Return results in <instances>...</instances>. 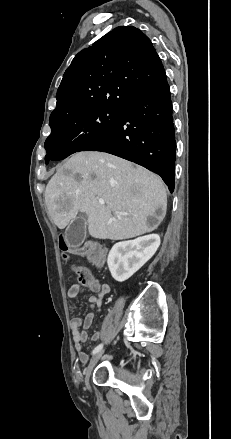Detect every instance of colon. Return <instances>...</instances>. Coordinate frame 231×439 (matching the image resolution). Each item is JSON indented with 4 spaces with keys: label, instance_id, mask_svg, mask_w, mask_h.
I'll return each instance as SVG.
<instances>
[{
    "label": "colon",
    "instance_id": "5ec220e1",
    "mask_svg": "<svg viewBox=\"0 0 231 439\" xmlns=\"http://www.w3.org/2000/svg\"><path fill=\"white\" fill-rule=\"evenodd\" d=\"M59 245L64 257L67 258L69 247L63 236H60ZM79 252L86 256L87 259L96 266H102L105 261L106 252L103 248L98 246V243L95 240L90 241V243H81ZM73 269L78 276V280L82 284L89 282L91 279V273L87 268L83 266H74Z\"/></svg>",
    "mask_w": 231,
    "mask_h": 439
}]
</instances>
